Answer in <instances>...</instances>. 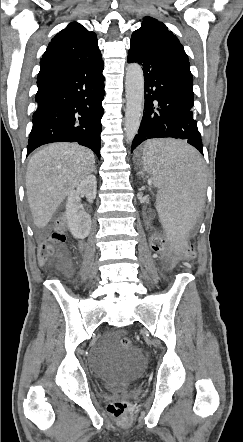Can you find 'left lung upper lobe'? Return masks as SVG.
<instances>
[{
	"label": "left lung upper lobe",
	"instance_id": "5c2ea615",
	"mask_svg": "<svg viewBox=\"0 0 243 442\" xmlns=\"http://www.w3.org/2000/svg\"><path fill=\"white\" fill-rule=\"evenodd\" d=\"M132 42L145 48L174 55L188 60L183 46L177 37L162 23L152 17H145L142 26L133 32Z\"/></svg>",
	"mask_w": 243,
	"mask_h": 442
}]
</instances>
